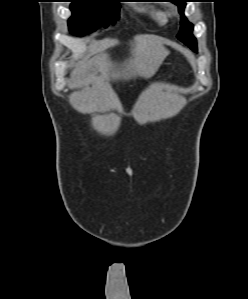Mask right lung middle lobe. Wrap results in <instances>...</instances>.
Here are the masks:
<instances>
[{
    "label": "right lung middle lobe",
    "mask_w": 248,
    "mask_h": 299,
    "mask_svg": "<svg viewBox=\"0 0 248 299\" xmlns=\"http://www.w3.org/2000/svg\"><path fill=\"white\" fill-rule=\"evenodd\" d=\"M117 3L114 0H72V16L68 20L70 32L83 36L99 24L107 26L118 17L120 6Z\"/></svg>",
    "instance_id": "obj_1"
}]
</instances>
